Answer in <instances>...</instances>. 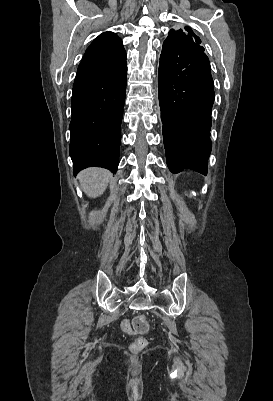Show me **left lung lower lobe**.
<instances>
[{"mask_svg":"<svg viewBox=\"0 0 273 401\" xmlns=\"http://www.w3.org/2000/svg\"><path fill=\"white\" fill-rule=\"evenodd\" d=\"M158 97L170 171L192 169L206 175L215 95L209 59L200 44L163 43Z\"/></svg>","mask_w":273,"mask_h":401,"instance_id":"obj_1","label":"left lung lower lobe"}]
</instances>
